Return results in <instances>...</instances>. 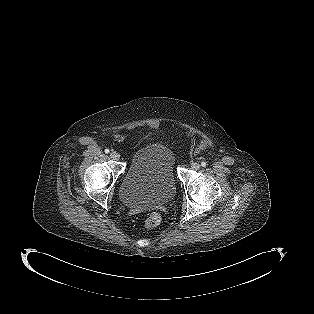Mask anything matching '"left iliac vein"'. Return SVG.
Here are the masks:
<instances>
[{"mask_svg":"<svg viewBox=\"0 0 314 314\" xmlns=\"http://www.w3.org/2000/svg\"><path fill=\"white\" fill-rule=\"evenodd\" d=\"M191 168L193 170H198L200 168V164L198 162H192L191 163Z\"/></svg>","mask_w":314,"mask_h":314,"instance_id":"4c4485c4","label":"left iliac vein"}]
</instances>
